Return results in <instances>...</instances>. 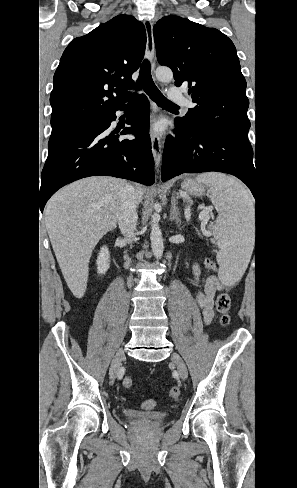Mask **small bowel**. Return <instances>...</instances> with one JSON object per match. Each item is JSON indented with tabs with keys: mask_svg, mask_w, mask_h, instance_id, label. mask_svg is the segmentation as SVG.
Wrapping results in <instances>:
<instances>
[{
	"mask_svg": "<svg viewBox=\"0 0 297 488\" xmlns=\"http://www.w3.org/2000/svg\"><path fill=\"white\" fill-rule=\"evenodd\" d=\"M194 284L196 287L195 299L206 324L214 317L215 295L226 289V286L216 275H210L205 280L201 279V270L198 264L191 266Z\"/></svg>",
	"mask_w": 297,
	"mask_h": 488,
	"instance_id": "c3829d8e",
	"label": "small bowel"
}]
</instances>
